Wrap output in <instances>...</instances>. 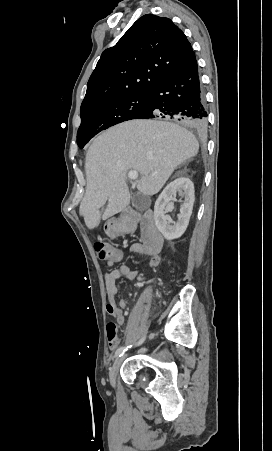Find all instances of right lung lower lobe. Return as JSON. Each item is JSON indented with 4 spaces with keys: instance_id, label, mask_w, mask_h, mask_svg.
Returning a JSON list of instances; mask_svg holds the SVG:
<instances>
[{
    "instance_id": "98d812e1",
    "label": "right lung lower lobe",
    "mask_w": 272,
    "mask_h": 451,
    "mask_svg": "<svg viewBox=\"0 0 272 451\" xmlns=\"http://www.w3.org/2000/svg\"><path fill=\"white\" fill-rule=\"evenodd\" d=\"M207 116L193 53L151 90L147 109L137 118L177 120L203 132L207 128Z\"/></svg>"
}]
</instances>
